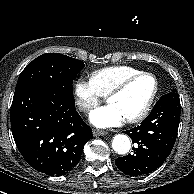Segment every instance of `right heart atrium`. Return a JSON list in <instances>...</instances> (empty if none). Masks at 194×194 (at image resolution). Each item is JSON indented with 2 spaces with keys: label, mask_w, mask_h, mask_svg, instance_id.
<instances>
[{
  "label": "right heart atrium",
  "mask_w": 194,
  "mask_h": 194,
  "mask_svg": "<svg viewBox=\"0 0 194 194\" xmlns=\"http://www.w3.org/2000/svg\"><path fill=\"white\" fill-rule=\"evenodd\" d=\"M73 96L78 109L85 114L91 112L102 100L92 82L84 77H80L74 82Z\"/></svg>",
  "instance_id": "obj_1"
}]
</instances>
